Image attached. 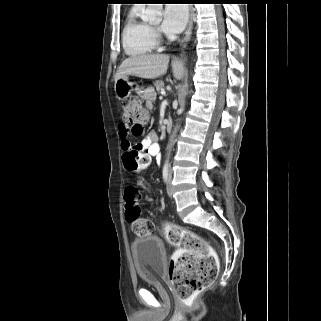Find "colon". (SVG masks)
Returning <instances> with one entry per match:
<instances>
[{
  "mask_svg": "<svg viewBox=\"0 0 321 321\" xmlns=\"http://www.w3.org/2000/svg\"><path fill=\"white\" fill-rule=\"evenodd\" d=\"M121 119L132 134L139 136L148 121V111L140 99L128 98L122 101ZM149 164V157L138 150L124 156L125 168L131 172L142 171ZM124 201L125 217L132 231L139 236L151 234L154 230L153 222L140 217L138 189L126 187ZM163 231L166 240L178 248L170 262V280L177 297L189 301L216 279L219 270L217 255L200 236L179 225L165 223Z\"/></svg>",
  "mask_w": 321,
  "mask_h": 321,
  "instance_id": "obj_1",
  "label": "colon"
}]
</instances>
